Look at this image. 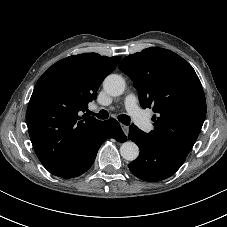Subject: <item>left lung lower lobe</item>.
<instances>
[{"label":"left lung lower lobe","instance_id":"obj_1","mask_svg":"<svg viewBox=\"0 0 227 227\" xmlns=\"http://www.w3.org/2000/svg\"><path fill=\"white\" fill-rule=\"evenodd\" d=\"M128 138L140 149L139 157L128 167L138 178L157 182L172 176L184 163L186 157L163 148L149 134L130 126Z\"/></svg>","mask_w":227,"mask_h":227}]
</instances>
